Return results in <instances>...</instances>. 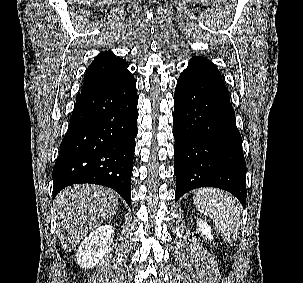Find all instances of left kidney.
<instances>
[{"mask_svg": "<svg viewBox=\"0 0 303 283\" xmlns=\"http://www.w3.org/2000/svg\"><path fill=\"white\" fill-rule=\"evenodd\" d=\"M197 230L199 232H201L202 236L204 235L205 236V239L206 240H213V235H212V229H211V226L204 220H198L197 221Z\"/></svg>", "mask_w": 303, "mask_h": 283, "instance_id": "obj_1", "label": "left kidney"}]
</instances>
